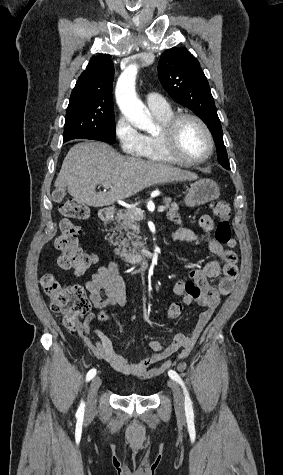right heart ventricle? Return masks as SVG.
<instances>
[{"label":"right heart ventricle","instance_id":"right-heart-ventricle-1","mask_svg":"<svg viewBox=\"0 0 283 475\" xmlns=\"http://www.w3.org/2000/svg\"><path fill=\"white\" fill-rule=\"evenodd\" d=\"M151 112L154 115V117L159 121L161 128L175 114L170 106L167 109L151 110ZM161 128H160V131H161ZM160 131L157 133H149L144 136L145 141H146V146H145L143 157L146 160L164 162L158 152V136H159Z\"/></svg>","mask_w":283,"mask_h":475}]
</instances>
